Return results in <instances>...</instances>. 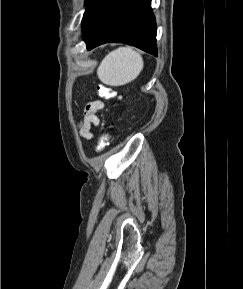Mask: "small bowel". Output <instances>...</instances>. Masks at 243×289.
<instances>
[{
    "mask_svg": "<svg viewBox=\"0 0 243 289\" xmlns=\"http://www.w3.org/2000/svg\"><path fill=\"white\" fill-rule=\"evenodd\" d=\"M103 107L104 103L101 100H93L86 105L84 117L79 125V133L85 139L92 138L91 127L99 125L100 120L97 113Z\"/></svg>",
    "mask_w": 243,
    "mask_h": 289,
    "instance_id": "1",
    "label": "small bowel"
}]
</instances>
